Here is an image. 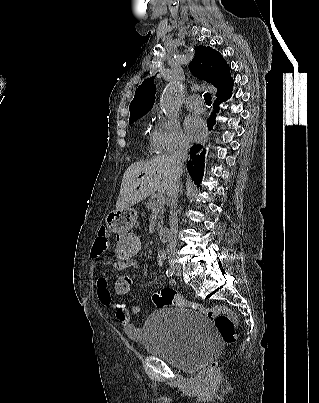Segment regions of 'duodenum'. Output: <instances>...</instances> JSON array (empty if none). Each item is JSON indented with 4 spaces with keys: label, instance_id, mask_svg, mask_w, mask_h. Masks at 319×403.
Returning <instances> with one entry per match:
<instances>
[{
    "label": "duodenum",
    "instance_id": "obj_1",
    "mask_svg": "<svg viewBox=\"0 0 319 403\" xmlns=\"http://www.w3.org/2000/svg\"><path fill=\"white\" fill-rule=\"evenodd\" d=\"M158 235L163 242H170V230L167 227H160L158 229Z\"/></svg>",
    "mask_w": 319,
    "mask_h": 403
}]
</instances>
